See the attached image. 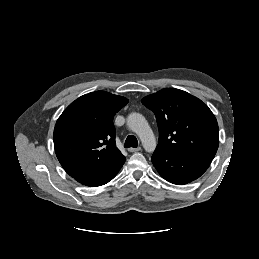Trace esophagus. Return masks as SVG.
<instances>
[{
	"label": "esophagus",
	"mask_w": 259,
	"mask_h": 259,
	"mask_svg": "<svg viewBox=\"0 0 259 259\" xmlns=\"http://www.w3.org/2000/svg\"><path fill=\"white\" fill-rule=\"evenodd\" d=\"M128 151L129 152H138V151H141V147H137V148L131 147V148L128 149Z\"/></svg>",
	"instance_id": "obj_1"
}]
</instances>
